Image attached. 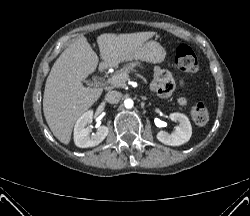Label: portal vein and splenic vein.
<instances>
[{
    "label": "portal vein and splenic vein",
    "mask_w": 250,
    "mask_h": 216,
    "mask_svg": "<svg viewBox=\"0 0 250 216\" xmlns=\"http://www.w3.org/2000/svg\"><path fill=\"white\" fill-rule=\"evenodd\" d=\"M129 78V75L128 74H122L120 75L119 77H113L111 79H109V82H114L116 80H127Z\"/></svg>",
    "instance_id": "portal-vein-and-splenic-vein-1"
}]
</instances>
